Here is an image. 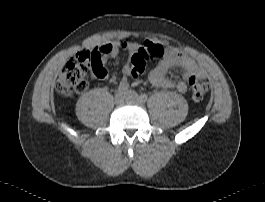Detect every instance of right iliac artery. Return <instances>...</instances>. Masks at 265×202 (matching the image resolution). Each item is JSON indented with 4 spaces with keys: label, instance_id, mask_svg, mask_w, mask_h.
Returning a JSON list of instances; mask_svg holds the SVG:
<instances>
[{
    "label": "right iliac artery",
    "instance_id": "right-iliac-artery-1",
    "mask_svg": "<svg viewBox=\"0 0 265 202\" xmlns=\"http://www.w3.org/2000/svg\"><path fill=\"white\" fill-rule=\"evenodd\" d=\"M129 85L128 83H120L118 88H117V93H123L124 91H126L128 89Z\"/></svg>",
    "mask_w": 265,
    "mask_h": 202
}]
</instances>
